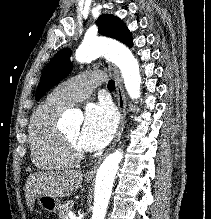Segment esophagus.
I'll list each match as a JSON object with an SVG mask.
<instances>
[{
	"instance_id": "34e87169",
	"label": "esophagus",
	"mask_w": 211,
	"mask_h": 219,
	"mask_svg": "<svg viewBox=\"0 0 211 219\" xmlns=\"http://www.w3.org/2000/svg\"><path fill=\"white\" fill-rule=\"evenodd\" d=\"M109 70L112 72L115 83H116V96H117V104L120 111L121 119H120V125L117 131V134L115 136V139L112 143V145L107 149V151L104 153V155L98 160V162L86 173L87 177H93V175L96 173L99 164L103 160V158L116 146L118 141L121 138V135L123 133L125 122H126V95L122 84V79L119 75L118 69L111 63L108 64Z\"/></svg>"
}]
</instances>
